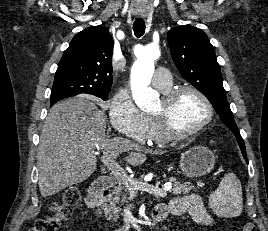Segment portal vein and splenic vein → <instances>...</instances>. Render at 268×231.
<instances>
[{"instance_id": "1", "label": "portal vein and splenic vein", "mask_w": 268, "mask_h": 231, "mask_svg": "<svg viewBox=\"0 0 268 231\" xmlns=\"http://www.w3.org/2000/svg\"><path fill=\"white\" fill-rule=\"evenodd\" d=\"M101 162L112 172V174L119 179L129 191H143L150 194H154L158 197H166L167 191L170 189V186H165L164 188H160L158 184H148L145 182L137 181L126 173V171L115 161L114 154L104 153L101 157Z\"/></svg>"}]
</instances>
